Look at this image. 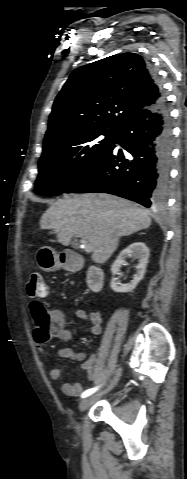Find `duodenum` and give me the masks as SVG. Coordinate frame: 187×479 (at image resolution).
Here are the masks:
<instances>
[{
  "label": "duodenum",
  "instance_id": "1",
  "mask_svg": "<svg viewBox=\"0 0 187 479\" xmlns=\"http://www.w3.org/2000/svg\"><path fill=\"white\" fill-rule=\"evenodd\" d=\"M66 267L69 270H76L80 267V260L72 256H64L63 259ZM104 284L103 270L98 266H92L88 270L87 285L91 291L98 292L102 289Z\"/></svg>",
  "mask_w": 187,
  "mask_h": 479
}]
</instances>
